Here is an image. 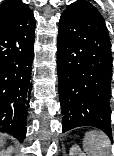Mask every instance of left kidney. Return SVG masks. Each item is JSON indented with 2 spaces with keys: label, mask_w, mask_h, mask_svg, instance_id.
I'll return each mask as SVG.
<instances>
[{
  "label": "left kidney",
  "mask_w": 114,
  "mask_h": 156,
  "mask_svg": "<svg viewBox=\"0 0 114 156\" xmlns=\"http://www.w3.org/2000/svg\"><path fill=\"white\" fill-rule=\"evenodd\" d=\"M69 156H86L78 145H73L70 148Z\"/></svg>",
  "instance_id": "1"
}]
</instances>
